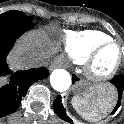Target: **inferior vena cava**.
<instances>
[{
	"label": "inferior vena cava",
	"mask_w": 124,
	"mask_h": 124,
	"mask_svg": "<svg viewBox=\"0 0 124 124\" xmlns=\"http://www.w3.org/2000/svg\"><path fill=\"white\" fill-rule=\"evenodd\" d=\"M29 62L30 63H36V64H39V63H42L43 62V59L38 57V56H30L29 57Z\"/></svg>",
	"instance_id": "inferior-vena-cava-1"
}]
</instances>
